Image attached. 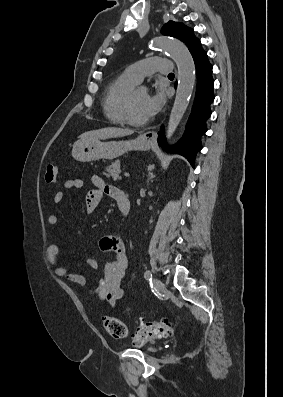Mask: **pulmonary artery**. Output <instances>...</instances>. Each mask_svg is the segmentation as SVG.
Segmentation results:
<instances>
[{"label":"pulmonary artery","instance_id":"1","mask_svg":"<svg viewBox=\"0 0 283 397\" xmlns=\"http://www.w3.org/2000/svg\"><path fill=\"white\" fill-rule=\"evenodd\" d=\"M171 71V64L167 59L150 57L128 66L124 74L135 83L140 82L145 76L159 72L167 74Z\"/></svg>","mask_w":283,"mask_h":397}]
</instances>
